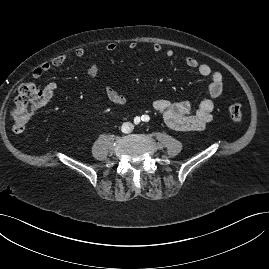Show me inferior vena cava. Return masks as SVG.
Returning a JSON list of instances; mask_svg holds the SVG:
<instances>
[{
  "label": "inferior vena cava",
  "mask_w": 269,
  "mask_h": 269,
  "mask_svg": "<svg viewBox=\"0 0 269 269\" xmlns=\"http://www.w3.org/2000/svg\"><path fill=\"white\" fill-rule=\"evenodd\" d=\"M134 126L133 124L129 123V122H125L122 125V132L123 133H130L133 130Z\"/></svg>",
  "instance_id": "inferior-vena-cava-1"
}]
</instances>
